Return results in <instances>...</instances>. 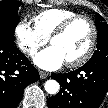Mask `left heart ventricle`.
Returning a JSON list of instances; mask_svg holds the SVG:
<instances>
[{
  "label": "left heart ventricle",
  "mask_w": 108,
  "mask_h": 108,
  "mask_svg": "<svg viewBox=\"0 0 108 108\" xmlns=\"http://www.w3.org/2000/svg\"><path fill=\"white\" fill-rule=\"evenodd\" d=\"M91 39L90 26L85 21L73 24L66 33L53 39L55 46L63 55L65 62L80 57L87 49Z\"/></svg>",
  "instance_id": "left-heart-ventricle-1"
}]
</instances>
